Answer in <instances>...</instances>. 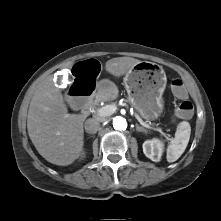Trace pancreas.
Returning a JSON list of instances; mask_svg holds the SVG:
<instances>
[{
    "instance_id": "pancreas-1",
    "label": "pancreas",
    "mask_w": 221,
    "mask_h": 221,
    "mask_svg": "<svg viewBox=\"0 0 221 221\" xmlns=\"http://www.w3.org/2000/svg\"><path fill=\"white\" fill-rule=\"evenodd\" d=\"M115 105V104H114ZM92 107H94L95 108V104H92Z\"/></svg>"
}]
</instances>
